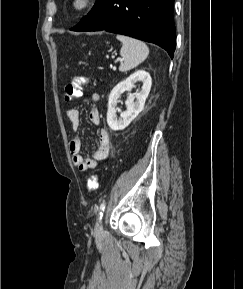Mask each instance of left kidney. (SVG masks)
Wrapping results in <instances>:
<instances>
[{"label":"left kidney","mask_w":243,"mask_h":289,"mask_svg":"<svg viewBox=\"0 0 243 289\" xmlns=\"http://www.w3.org/2000/svg\"><path fill=\"white\" fill-rule=\"evenodd\" d=\"M141 82V91L130 94L125 104L127 110L121 112L120 118H117V103L121 94L125 91H131L135 83ZM152 85V79L148 72L139 70L133 73L125 81L118 83L111 91L108 100L107 124L112 130H123L126 128L143 110L146 98L149 95ZM136 99V101H134Z\"/></svg>","instance_id":"1"}]
</instances>
